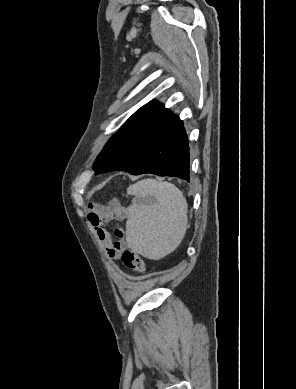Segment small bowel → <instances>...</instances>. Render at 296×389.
<instances>
[{"label":"small bowel","instance_id":"1","mask_svg":"<svg viewBox=\"0 0 296 389\" xmlns=\"http://www.w3.org/2000/svg\"><path fill=\"white\" fill-rule=\"evenodd\" d=\"M87 217L107 255L112 259H118L126 248L125 228L121 225L115 226L113 233L117 240L113 241L107 226L113 222L123 223L127 218L126 209L115 202L107 206L93 204L89 206Z\"/></svg>","mask_w":296,"mask_h":389}]
</instances>
